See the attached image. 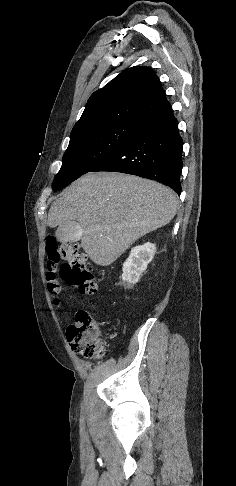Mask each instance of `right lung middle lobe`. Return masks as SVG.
<instances>
[{"label": "right lung middle lobe", "mask_w": 236, "mask_h": 486, "mask_svg": "<svg viewBox=\"0 0 236 486\" xmlns=\"http://www.w3.org/2000/svg\"><path fill=\"white\" fill-rule=\"evenodd\" d=\"M137 128L138 123H120L71 136L62 167L54 179L53 190L58 191L90 172L128 142Z\"/></svg>", "instance_id": "right-lung-middle-lobe-1"}]
</instances>
